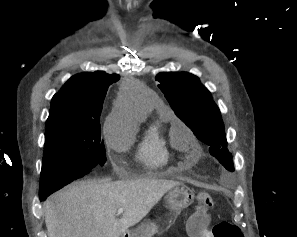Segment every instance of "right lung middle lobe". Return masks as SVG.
Wrapping results in <instances>:
<instances>
[{"label": "right lung middle lobe", "mask_w": 297, "mask_h": 237, "mask_svg": "<svg viewBox=\"0 0 297 237\" xmlns=\"http://www.w3.org/2000/svg\"><path fill=\"white\" fill-rule=\"evenodd\" d=\"M45 134L40 192H55L106 161L100 122L63 121Z\"/></svg>", "instance_id": "obj_1"}]
</instances>
